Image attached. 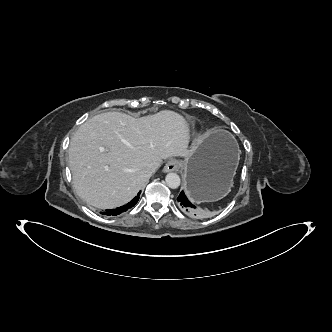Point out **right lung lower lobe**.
<instances>
[{
  "label": "right lung lower lobe",
  "instance_id": "obj_1",
  "mask_svg": "<svg viewBox=\"0 0 332 332\" xmlns=\"http://www.w3.org/2000/svg\"><path fill=\"white\" fill-rule=\"evenodd\" d=\"M140 193L141 192H139L138 195L135 198H133L126 205L118 207L116 209L106 210L105 212H102V214L107 215V216H115V215H118L122 212L127 211L128 209L132 208L138 202Z\"/></svg>",
  "mask_w": 332,
  "mask_h": 332
}]
</instances>
